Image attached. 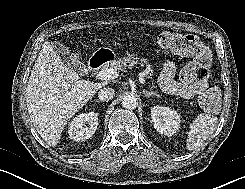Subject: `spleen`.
Segmentation results:
<instances>
[{
	"label": "spleen",
	"instance_id": "obj_1",
	"mask_svg": "<svg viewBox=\"0 0 245 189\" xmlns=\"http://www.w3.org/2000/svg\"><path fill=\"white\" fill-rule=\"evenodd\" d=\"M217 124L216 116L206 113L199 114L190 124L187 132L186 149L194 151L201 147L205 140L212 136Z\"/></svg>",
	"mask_w": 245,
	"mask_h": 189
}]
</instances>
